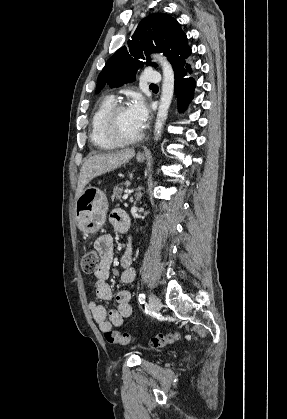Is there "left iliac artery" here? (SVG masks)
<instances>
[{
    "mask_svg": "<svg viewBox=\"0 0 287 419\" xmlns=\"http://www.w3.org/2000/svg\"><path fill=\"white\" fill-rule=\"evenodd\" d=\"M138 301L141 305L145 304V294L144 293H140L138 296Z\"/></svg>",
    "mask_w": 287,
    "mask_h": 419,
    "instance_id": "44dca946",
    "label": "left iliac artery"
}]
</instances>
